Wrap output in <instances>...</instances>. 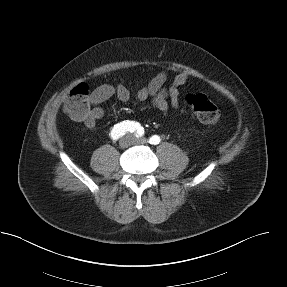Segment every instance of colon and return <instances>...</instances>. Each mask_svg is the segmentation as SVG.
<instances>
[{"label":"colon","instance_id":"1","mask_svg":"<svg viewBox=\"0 0 287 287\" xmlns=\"http://www.w3.org/2000/svg\"><path fill=\"white\" fill-rule=\"evenodd\" d=\"M185 102L196 117L205 124H217L222 114L217 106L204 94H188ZM63 109L73 120L83 121L90 111L89 88L79 84L67 96Z\"/></svg>","mask_w":287,"mask_h":287}]
</instances>
